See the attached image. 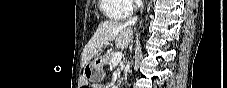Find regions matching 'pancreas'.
I'll list each match as a JSON object with an SVG mask.
<instances>
[{"mask_svg": "<svg viewBox=\"0 0 227 88\" xmlns=\"http://www.w3.org/2000/svg\"><path fill=\"white\" fill-rule=\"evenodd\" d=\"M111 60H112V54L105 55V62L107 65H111ZM121 70H123V67L121 68Z\"/></svg>", "mask_w": 227, "mask_h": 88, "instance_id": "obj_1", "label": "pancreas"}]
</instances>
